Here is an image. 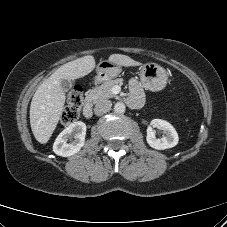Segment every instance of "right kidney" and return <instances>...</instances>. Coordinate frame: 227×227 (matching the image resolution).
<instances>
[{
    "label": "right kidney",
    "mask_w": 227,
    "mask_h": 227,
    "mask_svg": "<svg viewBox=\"0 0 227 227\" xmlns=\"http://www.w3.org/2000/svg\"><path fill=\"white\" fill-rule=\"evenodd\" d=\"M86 125L78 121L66 127L53 144L55 154L63 157L77 153L85 143Z\"/></svg>",
    "instance_id": "obj_1"
}]
</instances>
